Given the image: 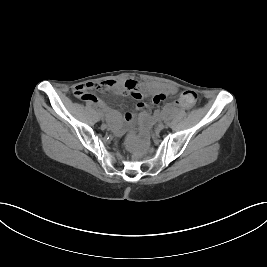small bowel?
I'll use <instances>...</instances> for the list:
<instances>
[{
	"mask_svg": "<svg viewBox=\"0 0 267 267\" xmlns=\"http://www.w3.org/2000/svg\"><path fill=\"white\" fill-rule=\"evenodd\" d=\"M103 82L107 88L111 87V86H115L118 91H120V92L122 91L123 85L120 82L119 83H114L113 81H103ZM82 85H84V84H82ZM82 85H78L74 88L73 93L76 97H77L76 89ZM176 92H177V89L171 85L147 83V84L142 85L141 93H139L138 95H132V97L137 100V104H136L137 109L138 110H144L147 107L146 104L141 101V99L144 95L151 94V95H154L156 97V96L161 95V94L162 95H165V94L172 95V94H175ZM86 101L93 103L94 105L103 109L107 113L112 112L111 108L101 99H97V98L92 97L91 99H88ZM176 109L177 108L172 104L167 105L168 111H175ZM155 115H156V117H159L160 114L157 111ZM125 118H126V120H131L133 118V115L128 112L125 114Z\"/></svg>",
	"mask_w": 267,
	"mask_h": 267,
	"instance_id": "small-bowel-1",
	"label": "small bowel"
}]
</instances>
